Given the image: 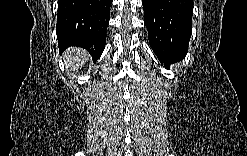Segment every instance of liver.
Segmentation results:
<instances>
[{"label":"liver","instance_id":"6515ba94","mask_svg":"<svg viewBox=\"0 0 247 156\" xmlns=\"http://www.w3.org/2000/svg\"><path fill=\"white\" fill-rule=\"evenodd\" d=\"M88 60L87 53L81 48H70L65 52L66 67L73 71L80 69Z\"/></svg>","mask_w":247,"mask_h":156}]
</instances>
